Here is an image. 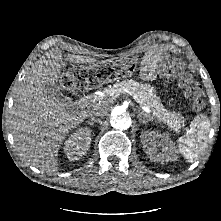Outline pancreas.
<instances>
[{
	"mask_svg": "<svg viewBox=\"0 0 221 221\" xmlns=\"http://www.w3.org/2000/svg\"><path fill=\"white\" fill-rule=\"evenodd\" d=\"M127 90L132 96H136L142 107L150 109L152 116L159 122L166 124L171 130L179 131L184 126V117L175 111L167 110L155 94L153 87L139 83L135 80H124L106 88L99 99L118 96Z\"/></svg>",
	"mask_w": 221,
	"mask_h": 221,
	"instance_id": "cf45deb5",
	"label": "pancreas"
}]
</instances>
